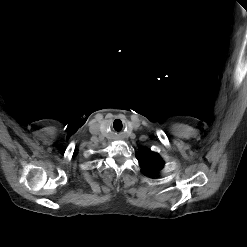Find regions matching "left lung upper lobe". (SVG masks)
Listing matches in <instances>:
<instances>
[{
	"instance_id": "left-lung-upper-lobe-1",
	"label": "left lung upper lobe",
	"mask_w": 247,
	"mask_h": 247,
	"mask_svg": "<svg viewBox=\"0 0 247 247\" xmlns=\"http://www.w3.org/2000/svg\"><path fill=\"white\" fill-rule=\"evenodd\" d=\"M136 157L143 172L149 176H156L164 165V162L157 153L146 148H143L140 153H137Z\"/></svg>"
}]
</instances>
